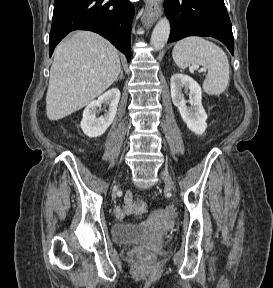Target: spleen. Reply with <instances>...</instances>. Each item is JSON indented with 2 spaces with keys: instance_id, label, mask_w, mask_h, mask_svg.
<instances>
[{
  "instance_id": "obj_1",
  "label": "spleen",
  "mask_w": 273,
  "mask_h": 288,
  "mask_svg": "<svg viewBox=\"0 0 273 288\" xmlns=\"http://www.w3.org/2000/svg\"><path fill=\"white\" fill-rule=\"evenodd\" d=\"M176 65L185 69L188 65H202L208 70L203 90L209 95H220L229 83V61L226 53L215 43L192 36L176 43L172 51Z\"/></svg>"
}]
</instances>
